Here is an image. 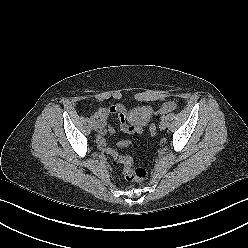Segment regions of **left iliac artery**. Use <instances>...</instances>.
<instances>
[{
  "instance_id": "left-iliac-artery-1",
  "label": "left iliac artery",
  "mask_w": 248,
  "mask_h": 248,
  "mask_svg": "<svg viewBox=\"0 0 248 248\" xmlns=\"http://www.w3.org/2000/svg\"><path fill=\"white\" fill-rule=\"evenodd\" d=\"M165 119V116L163 115L162 117H161V120H164Z\"/></svg>"
}]
</instances>
